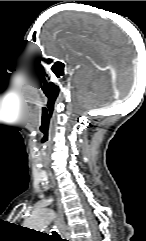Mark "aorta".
<instances>
[{"instance_id": "762f6f07", "label": "aorta", "mask_w": 146, "mask_h": 241, "mask_svg": "<svg viewBox=\"0 0 146 241\" xmlns=\"http://www.w3.org/2000/svg\"><path fill=\"white\" fill-rule=\"evenodd\" d=\"M53 211L48 208H42L33 212L25 221V225L29 229L44 230L53 218Z\"/></svg>"}]
</instances>
